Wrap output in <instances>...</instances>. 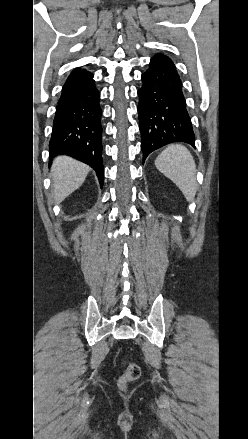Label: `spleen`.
Segmentation results:
<instances>
[{
	"label": "spleen",
	"mask_w": 248,
	"mask_h": 439,
	"mask_svg": "<svg viewBox=\"0 0 248 439\" xmlns=\"http://www.w3.org/2000/svg\"><path fill=\"white\" fill-rule=\"evenodd\" d=\"M155 166L176 184L189 202L194 200L197 191L196 165L185 146L169 145L158 155Z\"/></svg>",
	"instance_id": "spleen-1"
}]
</instances>
